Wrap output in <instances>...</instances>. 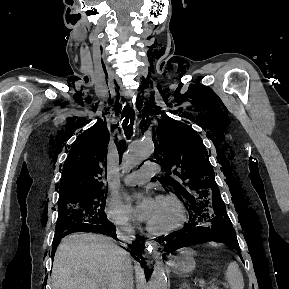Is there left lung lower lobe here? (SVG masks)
<instances>
[{
  "mask_svg": "<svg viewBox=\"0 0 289 289\" xmlns=\"http://www.w3.org/2000/svg\"><path fill=\"white\" fill-rule=\"evenodd\" d=\"M215 214L221 218L225 224V232L228 234L226 242L232 244L241 256L238 241L233 233L224 203L215 206ZM216 219L217 217L210 219L207 213H201V211H198V216H190L189 222L186 226H184L180 231L174 232L164 238V241L167 244V251L172 252L175 249L192 245L194 239L200 236H207L222 242L221 237L218 235L220 229L219 223Z\"/></svg>",
  "mask_w": 289,
  "mask_h": 289,
  "instance_id": "0a47b994",
  "label": "left lung lower lobe"
}]
</instances>
